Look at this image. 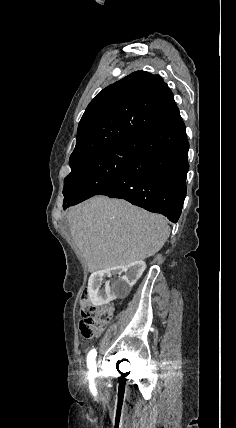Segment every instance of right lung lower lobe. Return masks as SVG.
I'll list each match as a JSON object with an SVG mask.
<instances>
[{
  "label": "right lung lower lobe",
  "instance_id": "98d812e1",
  "mask_svg": "<svg viewBox=\"0 0 236 428\" xmlns=\"http://www.w3.org/2000/svg\"><path fill=\"white\" fill-rule=\"evenodd\" d=\"M137 140V154L96 195L125 199L176 223L186 196L189 169V143L179 110Z\"/></svg>",
  "mask_w": 236,
  "mask_h": 428
}]
</instances>
